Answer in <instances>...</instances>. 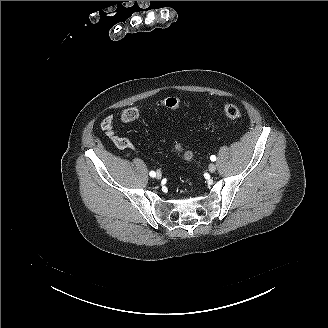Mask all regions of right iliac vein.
I'll return each mask as SVG.
<instances>
[{"mask_svg":"<svg viewBox=\"0 0 328 328\" xmlns=\"http://www.w3.org/2000/svg\"><path fill=\"white\" fill-rule=\"evenodd\" d=\"M161 177H162L161 173L158 172L157 175H156V179H161Z\"/></svg>","mask_w":328,"mask_h":328,"instance_id":"right-iliac-vein-1","label":"right iliac vein"}]
</instances>
